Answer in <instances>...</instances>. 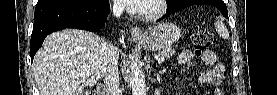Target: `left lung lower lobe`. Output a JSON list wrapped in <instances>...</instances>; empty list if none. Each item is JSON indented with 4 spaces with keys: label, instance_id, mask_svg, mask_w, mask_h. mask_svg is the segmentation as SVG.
Returning a JSON list of instances; mask_svg holds the SVG:
<instances>
[{
    "label": "left lung lower lobe",
    "instance_id": "obj_1",
    "mask_svg": "<svg viewBox=\"0 0 277 95\" xmlns=\"http://www.w3.org/2000/svg\"><path fill=\"white\" fill-rule=\"evenodd\" d=\"M197 4H208V5H212L216 8H218L221 13L228 18V11H227V7L226 4L222 1V0H184L183 2L174 5L173 7L169 8L167 10V13L165 14L164 17L169 16L172 13H175L183 8L192 6V5H197ZM161 20V19H160Z\"/></svg>",
    "mask_w": 277,
    "mask_h": 95
}]
</instances>
